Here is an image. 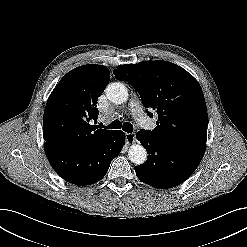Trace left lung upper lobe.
Here are the masks:
<instances>
[{
	"mask_svg": "<svg viewBox=\"0 0 247 247\" xmlns=\"http://www.w3.org/2000/svg\"><path fill=\"white\" fill-rule=\"evenodd\" d=\"M140 94L143 105L157 111V126L142 129L158 141L204 153L207 140V108L197 80L183 68L166 61L125 64L113 71ZM147 114H153L147 110Z\"/></svg>",
	"mask_w": 247,
	"mask_h": 247,
	"instance_id": "left-lung-upper-lobe-1",
	"label": "left lung upper lobe"
}]
</instances>
